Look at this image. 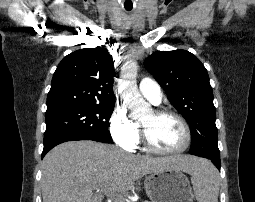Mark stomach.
I'll use <instances>...</instances> for the list:
<instances>
[{
    "label": "stomach",
    "instance_id": "obj_1",
    "mask_svg": "<svg viewBox=\"0 0 255 202\" xmlns=\"http://www.w3.org/2000/svg\"><path fill=\"white\" fill-rule=\"evenodd\" d=\"M151 186H145L151 202H193L187 177L180 170L166 169L152 173Z\"/></svg>",
    "mask_w": 255,
    "mask_h": 202
}]
</instances>
